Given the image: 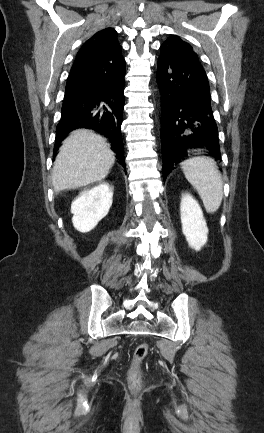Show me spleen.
<instances>
[{"instance_id": "spleen-1", "label": "spleen", "mask_w": 264, "mask_h": 433, "mask_svg": "<svg viewBox=\"0 0 264 433\" xmlns=\"http://www.w3.org/2000/svg\"><path fill=\"white\" fill-rule=\"evenodd\" d=\"M181 168L197 190L206 211L216 212L223 198V183L216 162L210 157L198 156L183 161Z\"/></svg>"}]
</instances>
